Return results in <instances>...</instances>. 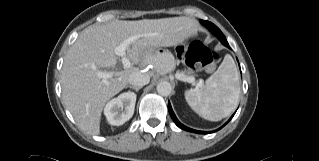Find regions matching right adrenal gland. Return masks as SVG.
Wrapping results in <instances>:
<instances>
[{
	"label": "right adrenal gland",
	"instance_id": "2a0ac1e0",
	"mask_svg": "<svg viewBox=\"0 0 319 161\" xmlns=\"http://www.w3.org/2000/svg\"><path fill=\"white\" fill-rule=\"evenodd\" d=\"M127 87L135 90L136 92H138L141 89V87H134V86H127Z\"/></svg>",
	"mask_w": 319,
	"mask_h": 161
}]
</instances>
